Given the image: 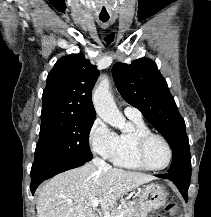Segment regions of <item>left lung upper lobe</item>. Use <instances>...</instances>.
<instances>
[{"mask_svg":"<svg viewBox=\"0 0 211 217\" xmlns=\"http://www.w3.org/2000/svg\"><path fill=\"white\" fill-rule=\"evenodd\" d=\"M112 75L121 96L168 141L173 153L168 173L191 175L185 122L156 63L148 58L134 60L131 65L118 62Z\"/></svg>","mask_w":211,"mask_h":217,"instance_id":"left-lung-upper-lobe-1","label":"left lung upper lobe"}]
</instances>
